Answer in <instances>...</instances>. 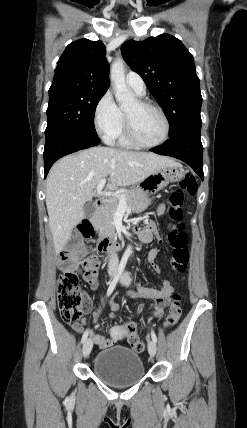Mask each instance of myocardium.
<instances>
[{"label": "myocardium", "mask_w": 247, "mask_h": 428, "mask_svg": "<svg viewBox=\"0 0 247 428\" xmlns=\"http://www.w3.org/2000/svg\"><path fill=\"white\" fill-rule=\"evenodd\" d=\"M136 102L139 106L153 109L154 111H156L159 114V116L161 117V119L164 123V134H163L162 138L155 143H146V142L141 141L136 136V134L134 133L127 114L124 113V124H125V130H126V134H127L128 139L131 141V143L133 145H135L137 147H141V148H156V147H160V146L164 145L168 141V139L170 137V131H171V125H170V122H169V119H168L166 113L164 112V110L161 107H159L158 105H156L150 101H147L144 99H138V100H136Z\"/></svg>", "instance_id": "obj_1"}]
</instances>
